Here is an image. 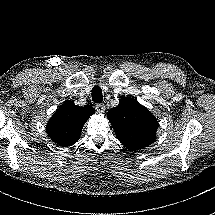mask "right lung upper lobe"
<instances>
[{
	"label": "right lung upper lobe",
	"instance_id": "obj_1",
	"mask_svg": "<svg viewBox=\"0 0 215 215\" xmlns=\"http://www.w3.org/2000/svg\"><path fill=\"white\" fill-rule=\"evenodd\" d=\"M95 113L93 107L76 106L73 101H65L49 119L46 131L59 146L68 147L78 141L83 125Z\"/></svg>",
	"mask_w": 215,
	"mask_h": 215
}]
</instances>
